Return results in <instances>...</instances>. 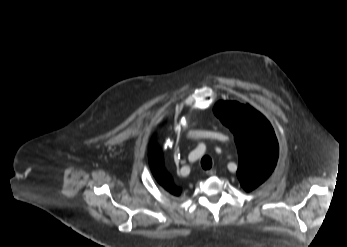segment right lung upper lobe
<instances>
[{
  "mask_svg": "<svg viewBox=\"0 0 347 247\" xmlns=\"http://www.w3.org/2000/svg\"><path fill=\"white\" fill-rule=\"evenodd\" d=\"M149 164L156 180L166 190L174 195H180L181 190L174 184L171 176L163 168V156L156 144H151L149 149Z\"/></svg>",
  "mask_w": 347,
  "mask_h": 247,
  "instance_id": "obj_1",
  "label": "right lung upper lobe"
}]
</instances>
